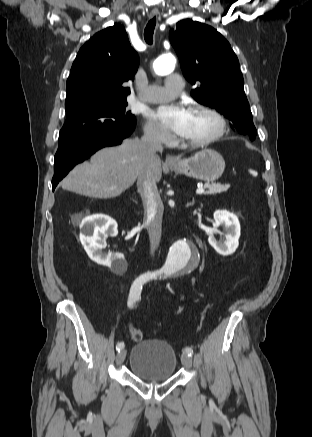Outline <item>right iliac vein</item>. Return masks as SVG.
<instances>
[{"label": "right iliac vein", "instance_id": "1", "mask_svg": "<svg viewBox=\"0 0 312 437\" xmlns=\"http://www.w3.org/2000/svg\"><path fill=\"white\" fill-rule=\"evenodd\" d=\"M125 357H126V350L123 349V350L119 351L116 355V363L117 364L123 363L125 360Z\"/></svg>", "mask_w": 312, "mask_h": 437}]
</instances>
